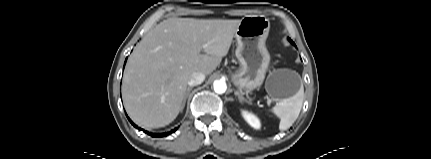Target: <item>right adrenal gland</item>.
Returning a JSON list of instances; mask_svg holds the SVG:
<instances>
[{"label": "right adrenal gland", "instance_id": "right-adrenal-gland-1", "mask_svg": "<svg viewBox=\"0 0 431 159\" xmlns=\"http://www.w3.org/2000/svg\"><path fill=\"white\" fill-rule=\"evenodd\" d=\"M191 90H192V87H188V88H187V91H186V93H185L184 100H183V103H182L181 112H182V110H183V108H184V106H185L186 99H187V97H188V95H189V93H190V91H191Z\"/></svg>", "mask_w": 431, "mask_h": 159}]
</instances>
